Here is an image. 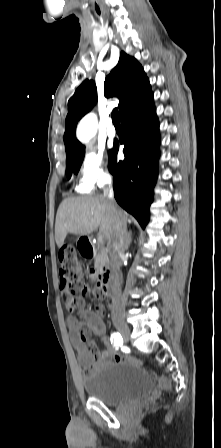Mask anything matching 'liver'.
<instances>
[{"instance_id": "6515ba94", "label": "liver", "mask_w": 221, "mask_h": 448, "mask_svg": "<svg viewBox=\"0 0 221 448\" xmlns=\"http://www.w3.org/2000/svg\"><path fill=\"white\" fill-rule=\"evenodd\" d=\"M122 214L125 223H130L127 213L122 211ZM115 219L105 196L66 198L60 204L56 215V244L61 248L68 233L84 236L98 227L101 235L111 243Z\"/></svg>"}]
</instances>
